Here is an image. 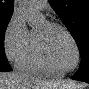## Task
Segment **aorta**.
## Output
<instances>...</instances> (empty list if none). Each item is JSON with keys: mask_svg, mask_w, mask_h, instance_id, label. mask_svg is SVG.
<instances>
[{"mask_svg": "<svg viewBox=\"0 0 89 89\" xmlns=\"http://www.w3.org/2000/svg\"><path fill=\"white\" fill-rule=\"evenodd\" d=\"M19 9L31 27L38 25L44 18L36 6L35 0H20Z\"/></svg>", "mask_w": 89, "mask_h": 89, "instance_id": "1", "label": "aorta"}]
</instances>
